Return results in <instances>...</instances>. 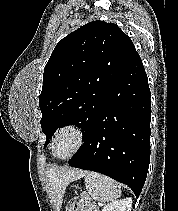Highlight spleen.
Wrapping results in <instances>:
<instances>
[{"label": "spleen", "instance_id": "3e777b00", "mask_svg": "<svg viewBox=\"0 0 178 211\" xmlns=\"http://www.w3.org/2000/svg\"><path fill=\"white\" fill-rule=\"evenodd\" d=\"M84 182L88 193L94 200L102 202L115 201L121 196L118 182L97 172H84Z\"/></svg>", "mask_w": 178, "mask_h": 211}]
</instances>
